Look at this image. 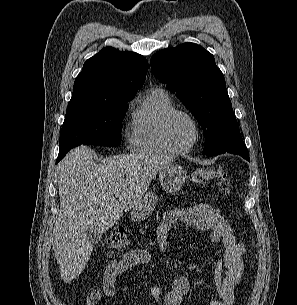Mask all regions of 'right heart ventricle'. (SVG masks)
<instances>
[{
    "label": "right heart ventricle",
    "mask_w": 297,
    "mask_h": 305,
    "mask_svg": "<svg viewBox=\"0 0 297 305\" xmlns=\"http://www.w3.org/2000/svg\"><path fill=\"white\" fill-rule=\"evenodd\" d=\"M175 108L166 90H151L133 113L128 138L130 149L145 154L171 153L161 137L160 124L164 115Z\"/></svg>",
    "instance_id": "right-heart-ventricle-1"
}]
</instances>
